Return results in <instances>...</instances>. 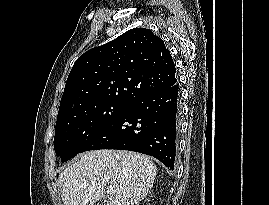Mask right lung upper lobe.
Returning <instances> with one entry per match:
<instances>
[{
	"label": "right lung upper lobe",
	"mask_w": 269,
	"mask_h": 205,
	"mask_svg": "<svg viewBox=\"0 0 269 205\" xmlns=\"http://www.w3.org/2000/svg\"><path fill=\"white\" fill-rule=\"evenodd\" d=\"M176 83L175 65L163 40L149 29H131L77 59L57 119L101 102L130 104Z\"/></svg>",
	"instance_id": "cb5924a9"
}]
</instances>
